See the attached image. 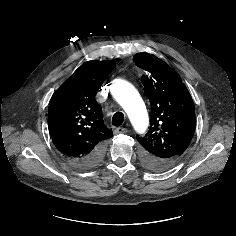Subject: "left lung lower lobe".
<instances>
[{
	"label": "left lung lower lobe",
	"mask_w": 236,
	"mask_h": 236,
	"mask_svg": "<svg viewBox=\"0 0 236 236\" xmlns=\"http://www.w3.org/2000/svg\"><path fill=\"white\" fill-rule=\"evenodd\" d=\"M165 169H167V168H169V167H171L172 166V164L171 163H165Z\"/></svg>",
	"instance_id": "0a47b994"
}]
</instances>
